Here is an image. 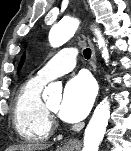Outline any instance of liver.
Here are the masks:
<instances>
[{
  "label": "liver",
  "mask_w": 131,
  "mask_h": 151,
  "mask_svg": "<svg viewBox=\"0 0 131 151\" xmlns=\"http://www.w3.org/2000/svg\"><path fill=\"white\" fill-rule=\"evenodd\" d=\"M49 146V144H24L12 146L8 148L7 151H43Z\"/></svg>",
  "instance_id": "liver-1"
}]
</instances>
